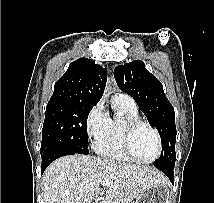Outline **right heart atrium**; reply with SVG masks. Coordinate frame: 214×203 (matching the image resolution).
Returning <instances> with one entry per match:
<instances>
[{
	"instance_id": "d8ad5b80",
	"label": "right heart atrium",
	"mask_w": 214,
	"mask_h": 203,
	"mask_svg": "<svg viewBox=\"0 0 214 203\" xmlns=\"http://www.w3.org/2000/svg\"><path fill=\"white\" fill-rule=\"evenodd\" d=\"M109 124V116L104 109V104L99 101L89 111L85 126L90 139L96 141L106 131Z\"/></svg>"
}]
</instances>
